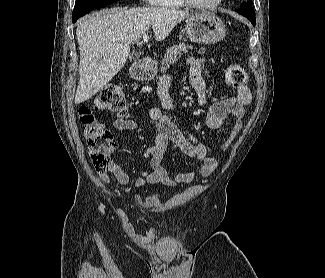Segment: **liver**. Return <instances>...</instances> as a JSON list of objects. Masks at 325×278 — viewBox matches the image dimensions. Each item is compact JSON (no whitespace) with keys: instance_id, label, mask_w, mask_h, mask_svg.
<instances>
[{"instance_id":"6515ba94","label":"liver","mask_w":325,"mask_h":278,"mask_svg":"<svg viewBox=\"0 0 325 278\" xmlns=\"http://www.w3.org/2000/svg\"><path fill=\"white\" fill-rule=\"evenodd\" d=\"M191 14L162 7L108 9L93 13L77 26L80 50L79 82L75 103L89 100L123 68L130 46L152 26L157 41Z\"/></svg>"}]
</instances>
